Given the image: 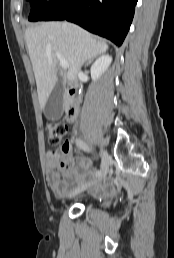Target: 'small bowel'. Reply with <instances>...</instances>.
<instances>
[{
	"mask_svg": "<svg viewBox=\"0 0 174 258\" xmlns=\"http://www.w3.org/2000/svg\"><path fill=\"white\" fill-rule=\"evenodd\" d=\"M66 144L68 145V153L71 155V143L67 142ZM56 168V161L53 158H50L47 168L48 184L52 194L56 197H62L67 194L71 185L82 183L87 177L96 175V171L92 168L91 163L81 157L74 159L73 170L66 173L64 177H61ZM108 188V183H105L104 185L96 188L95 192L97 194H101L108 190Z\"/></svg>",
	"mask_w": 174,
	"mask_h": 258,
	"instance_id": "small-bowel-1",
	"label": "small bowel"
}]
</instances>
